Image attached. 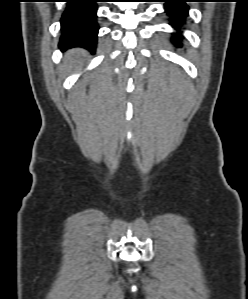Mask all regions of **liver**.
Returning a JSON list of instances; mask_svg holds the SVG:
<instances>
[{
	"label": "liver",
	"instance_id": "obj_1",
	"mask_svg": "<svg viewBox=\"0 0 248 299\" xmlns=\"http://www.w3.org/2000/svg\"><path fill=\"white\" fill-rule=\"evenodd\" d=\"M84 54L85 51L82 49H72L68 51L64 57V67H73L80 64V61Z\"/></svg>",
	"mask_w": 248,
	"mask_h": 299
}]
</instances>
